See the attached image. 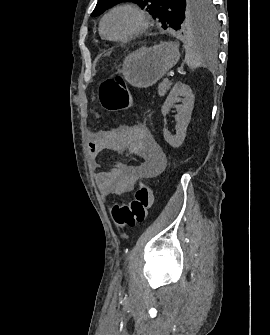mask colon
Instances as JSON below:
<instances>
[{"instance_id": "colon-1", "label": "colon", "mask_w": 270, "mask_h": 335, "mask_svg": "<svg viewBox=\"0 0 270 335\" xmlns=\"http://www.w3.org/2000/svg\"><path fill=\"white\" fill-rule=\"evenodd\" d=\"M98 92L101 103L106 109L122 111L128 110L132 105V97L121 76L107 79L99 86ZM151 203L149 188L141 184L128 203L112 204V219L119 228H131L146 220Z\"/></svg>"}]
</instances>
